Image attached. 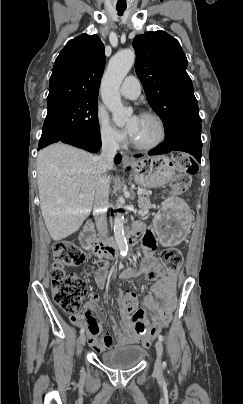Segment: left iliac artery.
I'll return each instance as SVG.
<instances>
[{"mask_svg": "<svg viewBox=\"0 0 243 404\" xmlns=\"http://www.w3.org/2000/svg\"><path fill=\"white\" fill-rule=\"evenodd\" d=\"M158 339H159L161 342L164 341V338H163L162 335H159V336H158ZM163 366L166 367V362L163 363Z\"/></svg>", "mask_w": 243, "mask_h": 404, "instance_id": "1", "label": "left iliac artery"}]
</instances>
